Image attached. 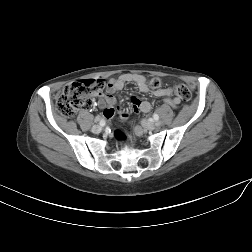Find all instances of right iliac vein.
<instances>
[{
    "instance_id": "63e3f726",
    "label": "right iliac vein",
    "mask_w": 252,
    "mask_h": 252,
    "mask_svg": "<svg viewBox=\"0 0 252 252\" xmlns=\"http://www.w3.org/2000/svg\"><path fill=\"white\" fill-rule=\"evenodd\" d=\"M91 130L93 133L98 134L101 132L102 127L100 125H94Z\"/></svg>"
}]
</instances>
